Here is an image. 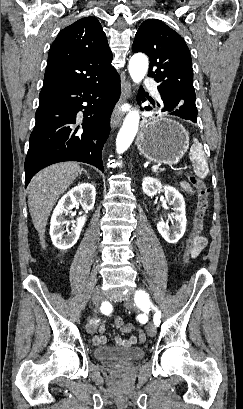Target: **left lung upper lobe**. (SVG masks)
Listing matches in <instances>:
<instances>
[{"instance_id":"left-lung-upper-lobe-1","label":"left lung upper lobe","mask_w":243,"mask_h":409,"mask_svg":"<svg viewBox=\"0 0 243 409\" xmlns=\"http://www.w3.org/2000/svg\"><path fill=\"white\" fill-rule=\"evenodd\" d=\"M132 50L148 55V76L159 83L160 92L195 103L191 55L178 33L157 19H148L140 25Z\"/></svg>"}]
</instances>
